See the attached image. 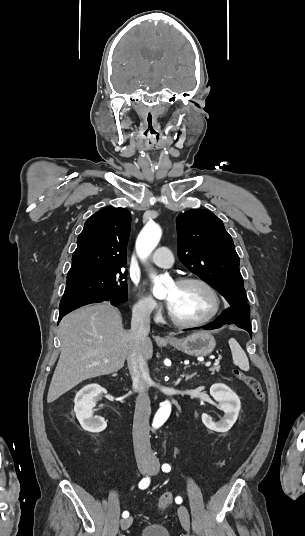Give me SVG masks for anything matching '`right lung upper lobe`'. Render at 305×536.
<instances>
[{"label":"right lung upper lobe","instance_id":"cb5924a9","mask_svg":"<svg viewBox=\"0 0 305 536\" xmlns=\"http://www.w3.org/2000/svg\"><path fill=\"white\" fill-rule=\"evenodd\" d=\"M130 224L124 208L107 207L92 215L77 239L67 278L125 266Z\"/></svg>","mask_w":305,"mask_h":536}]
</instances>
